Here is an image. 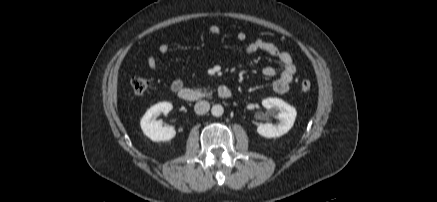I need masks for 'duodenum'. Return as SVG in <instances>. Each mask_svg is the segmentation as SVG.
<instances>
[{
    "label": "duodenum",
    "mask_w": 437,
    "mask_h": 202,
    "mask_svg": "<svg viewBox=\"0 0 437 202\" xmlns=\"http://www.w3.org/2000/svg\"><path fill=\"white\" fill-rule=\"evenodd\" d=\"M180 99L187 102H197L204 99L211 98L213 95H217L222 99H229L232 96L231 90L227 86H219L215 90H202L182 87L177 92Z\"/></svg>",
    "instance_id": "1"
}]
</instances>
